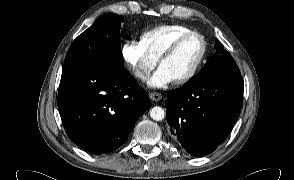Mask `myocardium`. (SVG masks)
<instances>
[{
  "mask_svg": "<svg viewBox=\"0 0 294 180\" xmlns=\"http://www.w3.org/2000/svg\"><path fill=\"white\" fill-rule=\"evenodd\" d=\"M192 36H197L200 39L201 45H202V50H201L199 58L197 59L196 63L192 67V69L184 77L174 81V83L177 85H184V84L190 82L196 76L198 71L200 70V68L206 58V54H207V42H206L205 37L198 31L187 32V33L177 37L167 47V49L162 53V55L158 59V63L161 66V64L164 60L169 58L185 40H187L188 38H190Z\"/></svg>",
  "mask_w": 294,
  "mask_h": 180,
  "instance_id": "1",
  "label": "myocardium"
}]
</instances>
